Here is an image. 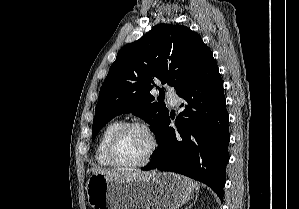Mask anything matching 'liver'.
<instances>
[{"label":"liver","instance_id":"1","mask_svg":"<svg viewBox=\"0 0 299 209\" xmlns=\"http://www.w3.org/2000/svg\"><path fill=\"white\" fill-rule=\"evenodd\" d=\"M92 173L103 174L108 177L114 178L116 180H132V179H142L148 176L149 172H143L140 170H117L111 171L107 169H102L99 167L91 168Z\"/></svg>","mask_w":299,"mask_h":209}]
</instances>
